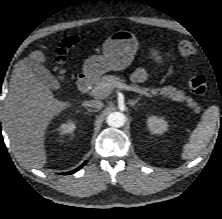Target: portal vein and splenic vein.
Segmentation results:
<instances>
[{
  "label": "portal vein and splenic vein",
  "instance_id": "portal-vein-and-splenic-vein-1",
  "mask_svg": "<svg viewBox=\"0 0 222 219\" xmlns=\"http://www.w3.org/2000/svg\"><path fill=\"white\" fill-rule=\"evenodd\" d=\"M115 87L119 88V89H122V90H128V91H135L136 92L134 87L126 85V84H123V83H117L115 85ZM106 96H108V94Z\"/></svg>",
  "mask_w": 222,
  "mask_h": 219
}]
</instances>
